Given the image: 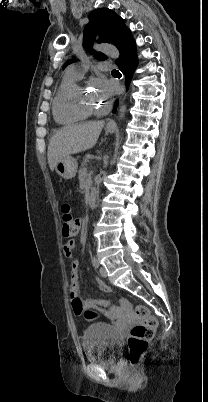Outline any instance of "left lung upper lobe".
I'll return each mask as SVG.
<instances>
[{"mask_svg":"<svg viewBox=\"0 0 208 402\" xmlns=\"http://www.w3.org/2000/svg\"><path fill=\"white\" fill-rule=\"evenodd\" d=\"M127 27L123 23V19L108 8L96 9L89 15V23L84 29L83 46L90 52L95 54V57L102 61L106 56L100 52H95L91 45L95 35H100L99 42H107L114 44L118 49L122 44L127 32ZM72 63L67 61L65 65Z\"/></svg>","mask_w":208,"mask_h":402,"instance_id":"1","label":"left lung upper lobe"}]
</instances>
